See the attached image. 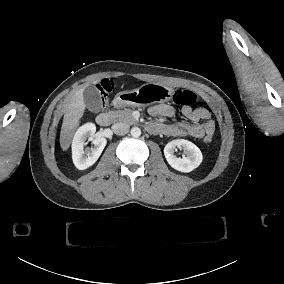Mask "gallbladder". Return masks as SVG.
Masks as SVG:
<instances>
[{
    "instance_id": "bac80fb5",
    "label": "gallbladder",
    "mask_w": 284,
    "mask_h": 284,
    "mask_svg": "<svg viewBox=\"0 0 284 284\" xmlns=\"http://www.w3.org/2000/svg\"><path fill=\"white\" fill-rule=\"evenodd\" d=\"M84 101L88 110L92 113H100L103 109L102 96L94 86H87L84 91Z\"/></svg>"
}]
</instances>
